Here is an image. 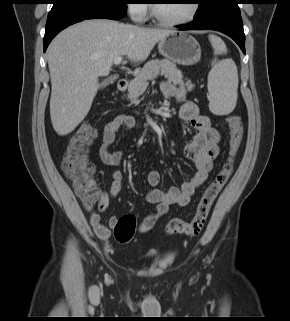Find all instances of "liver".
I'll use <instances>...</instances> for the list:
<instances>
[{"mask_svg":"<svg viewBox=\"0 0 290 321\" xmlns=\"http://www.w3.org/2000/svg\"><path fill=\"white\" fill-rule=\"evenodd\" d=\"M168 29L146 28L107 19H91L59 33L47 50L51 77L50 116L58 135L71 133L88 114L116 57L145 61Z\"/></svg>","mask_w":290,"mask_h":321,"instance_id":"6515ba94","label":"liver"}]
</instances>
